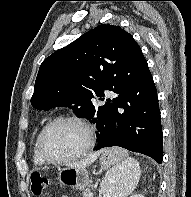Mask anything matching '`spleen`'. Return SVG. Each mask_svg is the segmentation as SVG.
I'll use <instances>...</instances> for the list:
<instances>
[{"instance_id":"obj_1","label":"spleen","mask_w":191,"mask_h":197,"mask_svg":"<svg viewBox=\"0 0 191 197\" xmlns=\"http://www.w3.org/2000/svg\"><path fill=\"white\" fill-rule=\"evenodd\" d=\"M119 161L106 174L103 197H127L137 187L141 170L139 163L122 148L109 149Z\"/></svg>"}]
</instances>
